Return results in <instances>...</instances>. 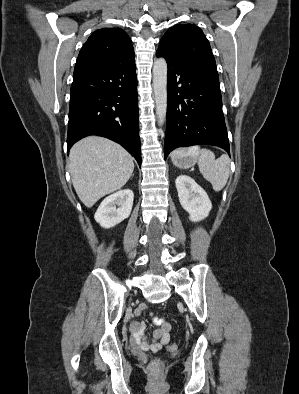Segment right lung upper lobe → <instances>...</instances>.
I'll return each mask as SVG.
<instances>
[{
	"label": "right lung upper lobe",
	"instance_id": "obj_1",
	"mask_svg": "<svg viewBox=\"0 0 299 394\" xmlns=\"http://www.w3.org/2000/svg\"><path fill=\"white\" fill-rule=\"evenodd\" d=\"M134 49L126 32L120 28L95 31L79 52L74 74L106 66L134 62Z\"/></svg>",
	"mask_w": 299,
	"mask_h": 394
}]
</instances>
